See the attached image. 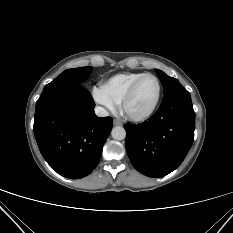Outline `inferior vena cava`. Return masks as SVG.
<instances>
[{"label": "inferior vena cava", "mask_w": 233, "mask_h": 233, "mask_svg": "<svg viewBox=\"0 0 233 233\" xmlns=\"http://www.w3.org/2000/svg\"><path fill=\"white\" fill-rule=\"evenodd\" d=\"M94 110H95V114L99 117H106L109 115L107 110L103 107L96 106Z\"/></svg>", "instance_id": "inferior-vena-cava-1"}]
</instances>
